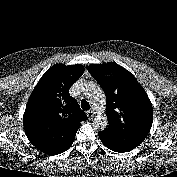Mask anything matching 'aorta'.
<instances>
[{
  "mask_svg": "<svg viewBox=\"0 0 177 177\" xmlns=\"http://www.w3.org/2000/svg\"><path fill=\"white\" fill-rule=\"evenodd\" d=\"M88 98H89L91 104L96 106V108H100V109L104 108L105 96L102 93V91L98 87H96L95 85H91L89 87ZM97 125L100 127L106 126L107 125L106 118L104 117L103 122H101V123L99 122V123H97Z\"/></svg>",
  "mask_w": 177,
  "mask_h": 177,
  "instance_id": "762f6f07",
  "label": "aorta"
}]
</instances>
